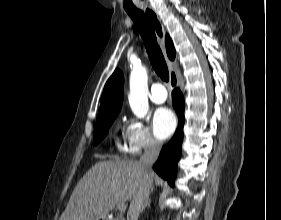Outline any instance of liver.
I'll return each mask as SVG.
<instances>
[{"label": "liver", "instance_id": "1", "mask_svg": "<svg viewBox=\"0 0 281 220\" xmlns=\"http://www.w3.org/2000/svg\"><path fill=\"white\" fill-rule=\"evenodd\" d=\"M142 179L136 161H100L78 182L60 220H106L117 204L133 198Z\"/></svg>", "mask_w": 281, "mask_h": 220}]
</instances>
